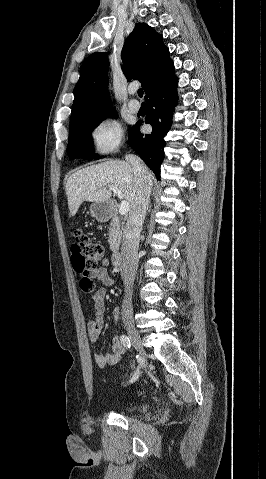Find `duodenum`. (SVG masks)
Segmentation results:
<instances>
[{"label": "duodenum", "mask_w": 266, "mask_h": 479, "mask_svg": "<svg viewBox=\"0 0 266 479\" xmlns=\"http://www.w3.org/2000/svg\"><path fill=\"white\" fill-rule=\"evenodd\" d=\"M112 261H113V267H114L115 271L119 272L123 269V267H124V257L120 252H116L112 256Z\"/></svg>", "instance_id": "obj_1"}]
</instances>
